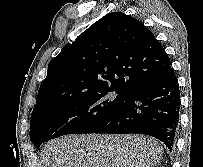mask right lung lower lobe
Listing matches in <instances>:
<instances>
[{"instance_id":"1","label":"right lung lower lobe","mask_w":203,"mask_h":167,"mask_svg":"<svg viewBox=\"0 0 203 167\" xmlns=\"http://www.w3.org/2000/svg\"><path fill=\"white\" fill-rule=\"evenodd\" d=\"M180 91L172 68L124 94V102L93 133L146 134L172 149L179 121Z\"/></svg>"}]
</instances>
